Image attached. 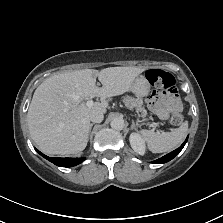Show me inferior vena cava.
<instances>
[{"label":"inferior vena cava","instance_id":"602c4592","mask_svg":"<svg viewBox=\"0 0 223 223\" xmlns=\"http://www.w3.org/2000/svg\"><path fill=\"white\" fill-rule=\"evenodd\" d=\"M103 118H104L103 112L100 110H93L90 113V120L93 122L99 123L103 120Z\"/></svg>","mask_w":223,"mask_h":223}]
</instances>
